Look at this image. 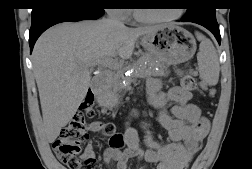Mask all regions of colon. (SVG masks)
I'll use <instances>...</instances> for the list:
<instances>
[{
	"label": "colon",
	"mask_w": 252,
	"mask_h": 169,
	"mask_svg": "<svg viewBox=\"0 0 252 169\" xmlns=\"http://www.w3.org/2000/svg\"><path fill=\"white\" fill-rule=\"evenodd\" d=\"M181 86L185 90H197L198 83L192 73L185 74L181 79ZM94 114V98L88 93L80 110L71 121L62 129L59 137L53 143V149L57 158L69 169H85L92 159L82 153V145L88 138V129L85 116ZM102 135L109 138L113 147L122 146V135L117 133L114 124L105 123L101 131Z\"/></svg>",
	"instance_id": "obj_1"
}]
</instances>
